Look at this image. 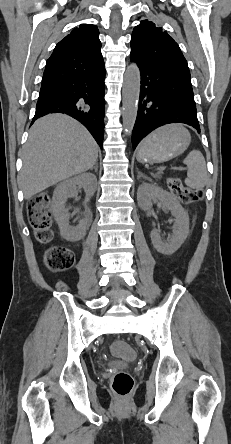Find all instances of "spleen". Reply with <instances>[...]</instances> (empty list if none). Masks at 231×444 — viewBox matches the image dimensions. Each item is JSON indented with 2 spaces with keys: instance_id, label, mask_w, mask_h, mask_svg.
Instances as JSON below:
<instances>
[{
  "instance_id": "3e777b00",
  "label": "spleen",
  "mask_w": 231,
  "mask_h": 444,
  "mask_svg": "<svg viewBox=\"0 0 231 444\" xmlns=\"http://www.w3.org/2000/svg\"><path fill=\"white\" fill-rule=\"evenodd\" d=\"M183 163L188 166L185 184L193 189L203 188L207 183L208 175L202 153L199 150H192L183 160Z\"/></svg>"
}]
</instances>
